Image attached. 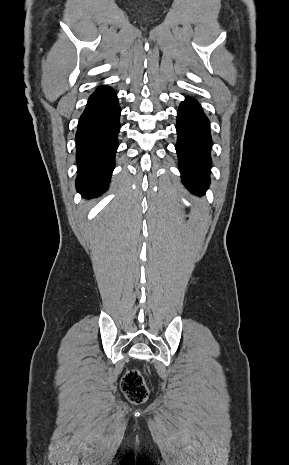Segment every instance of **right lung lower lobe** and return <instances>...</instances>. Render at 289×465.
Segmentation results:
<instances>
[{"label": "right lung lower lobe", "instance_id": "right-lung-lower-lobe-1", "mask_svg": "<svg viewBox=\"0 0 289 465\" xmlns=\"http://www.w3.org/2000/svg\"><path fill=\"white\" fill-rule=\"evenodd\" d=\"M120 107L112 88L100 86L89 97L76 132L77 191L93 198L107 190L118 148Z\"/></svg>", "mask_w": 289, "mask_h": 465}]
</instances>
